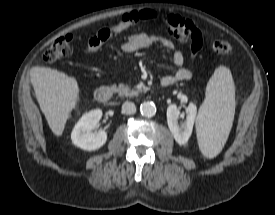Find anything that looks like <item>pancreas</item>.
Masks as SVG:
<instances>
[{
    "label": "pancreas",
    "mask_w": 275,
    "mask_h": 215,
    "mask_svg": "<svg viewBox=\"0 0 275 215\" xmlns=\"http://www.w3.org/2000/svg\"><path fill=\"white\" fill-rule=\"evenodd\" d=\"M116 91L122 97L138 96L140 92H142V90L132 89L128 85L124 84H119V86L116 88Z\"/></svg>",
    "instance_id": "obj_1"
}]
</instances>
